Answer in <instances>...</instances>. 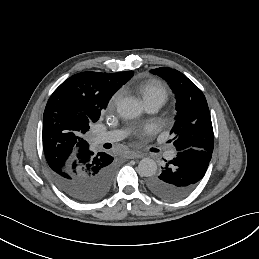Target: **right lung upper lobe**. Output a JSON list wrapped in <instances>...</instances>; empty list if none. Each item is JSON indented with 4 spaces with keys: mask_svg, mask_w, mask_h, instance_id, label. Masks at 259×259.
<instances>
[{
    "mask_svg": "<svg viewBox=\"0 0 259 259\" xmlns=\"http://www.w3.org/2000/svg\"><path fill=\"white\" fill-rule=\"evenodd\" d=\"M133 76L82 72L65 80L49 98L43 115V148L52 171H61L89 149L85 133L110 98Z\"/></svg>",
    "mask_w": 259,
    "mask_h": 259,
    "instance_id": "cb5924a9",
    "label": "right lung upper lobe"
}]
</instances>
